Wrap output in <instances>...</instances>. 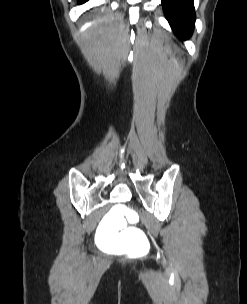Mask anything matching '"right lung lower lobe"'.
I'll use <instances>...</instances> for the list:
<instances>
[{"label": "right lung lower lobe", "mask_w": 247, "mask_h": 304, "mask_svg": "<svg viewBox=\"0 0 247 304\" xmlns=\"http://www.w3.org/2000/svg\"><path fill=\"white\" fill-rule=\"evenodd\" d=\"M87 0H79V4L86 2Z\"/></svg>", "instance_id": "98d812e1"}]
</instances>
